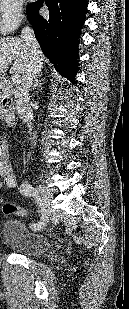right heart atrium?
Here are the masks:
<instances>
[{
  "instance_id": "d8ad5b80",
  "label": "right heart atrium",
  "mask_w": 129,
  "mask_h": 309,
  "mask_svg": "<svg viewBox=\"0 0 129 309\" xmlns=\"http://www.w3.org/2000/svg\"><path fill=\"white\" fill-rule=\"evenodd\" d=\"M23 21L22 0H0V32L15 31Z\"/></svg>"
}]
</instances>
